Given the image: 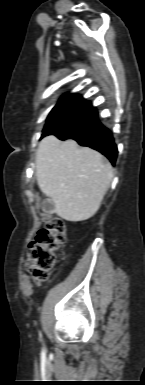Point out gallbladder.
I'll use <instances>...</instances> for the list:
<instances>
[{"label":"gallbladder","instance_id":"obj_1","mask_svg":"<svg viewBox=\"0 0 145 385\" xmlns=\"http://www.w3.org/2000/svg\"><path fill=\"white\" fill-rule=\"evenodd\" d=\"M42 210L45 213L52 214L54 212V204L51 201L44 200L42 202Z\"/></svg>","mask_w":145,"mask_h":385}]
</instances>
